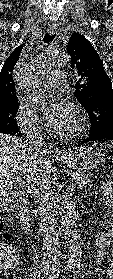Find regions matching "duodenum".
Listing matches in <instances>:
<instances>
[{"mask_svg":"<svg viewBox=\"0 0 113 279\" xmlns=\"http://www.w3.org/2000/svg\"><path fill=\"white\" fill-rule=\"evenodd\" d=\"M21 226L26 234H32L33 227L31 223L30 210L28 207L23 206L19 211Z\"/></svg>","mask_w":113,"mask_h":279,"instance_id":"obj_1","label":"duodenum"}]
</instances>
